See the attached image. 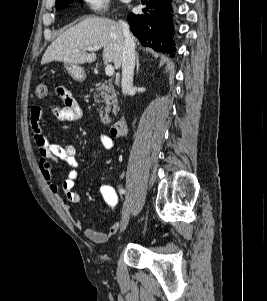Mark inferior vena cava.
Segmentation results:
<instances>
[{"mask_svg": "<svg viewBox=\"0 0 267 301\" xmlns=\"http://www.w3.org/2000/svg\"><path fill=\"white\" fill-rule=\"evenodd\" d=\"M124 35V45L122 52V93L126 95L133 85V75L135 67V44L130 34L127 23L120 21Z\"/></svg>", "mask_w": 267, "mask_h": 301, "instance_id": "inferior-vena-cava-1", "label": "inferior vena cava"}]
</instances>
